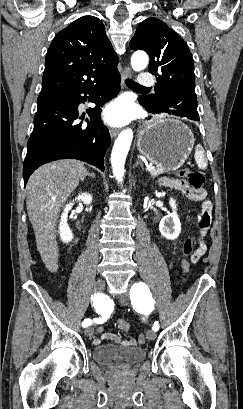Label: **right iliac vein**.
Masks as SVG:
<instances>
[{
  "instance_id": "63e3f726",
  "label": "right iliac vein",
  "mask_w": 243,
  "mask_h": 409,
  "mask_svg": "<svg viewBox=\"0 0 243 409\" xmlns=\"http://www.w3.org/2000/svg\"><path fill=\"white\" fill-rule=\"evenodd\" d=\"M104 288H105V281L103 279H98L95 282V287H94L95 291L102 292ZM84 333L86 336L91 337L94 333V329L92 327H88L85 329Z\"/></svg>"
}]
</instances>
